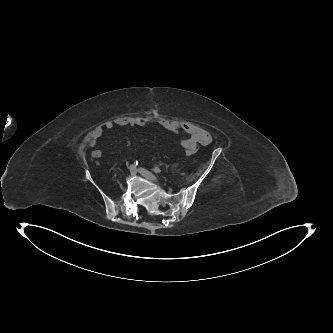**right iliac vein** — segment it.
<instances>
[{
	"mask_svg": "<svg viewBox=\"0 0 333 333\" xmlns=\"http://www.w3.org/2000/svg\"><path fill=\"white\" fill-rule=\"evenodd\" d=\"M130 174L132 176H135L136 175V167L134 165H131L130 166Z\"/></svg>",
	"mask_w": 333,
	"mask_h": 333,
	"instance_id": "1",
	"label": "right iliac vein"
}]
</instances>
